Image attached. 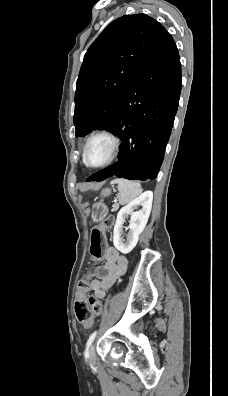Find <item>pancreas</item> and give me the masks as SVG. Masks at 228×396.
<instances>
[{"instance_id": "cf45deb5", "label": "pancreas", "mask_w": 228, "mask_h": 396, "mask_svg": "<svg viewBox=\"0 0 228 396\" xmlns=\"http://www.w3.org/2000/svg\"><path fill=\"white\" fill-rule=\"evenodd\" d=\"M118 208H119V205H118V204H114V205H113V209H112V210H113V211H117V210H118Z\"/></svg>"}]
</instances>
